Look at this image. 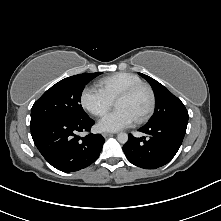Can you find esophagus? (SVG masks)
<instances>
[{"instance_id": "1", "label": "esophagus", "mask_w": 221, "mask_h": 221, "mask_svg": "<svg viewBox=\"0 0 221 221\" xmlns=\"http://www.w3.org/2000/svg\"><path fill=\"white\" fill-rule=\"evenodd\" d=\"M102 135H103V137L107 138V137L112 136V135H113V133L104 132Z\"/></svg>"}]
</instances>
